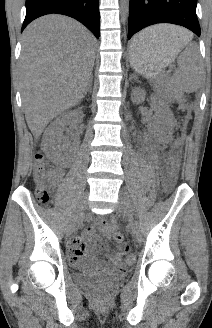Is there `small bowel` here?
Instances as JSON below:
<instances>
[{
  "label": "small bowel",
  "instance_id": "1",
  "mask_svg": "<svg viewBox=\"0 0 212 328\" xmlns=\"http://www.w3.org/2000/svg\"><path fill=\"white\" fill-rule=\"evenodd\" d=\"M62 170L57 169L52 173V180L58 182L62 177ZM98 225L105 236H111L114 232V224L100 219ZM101 247L108 259V262H103L97 259V248ZM69 256L73 262L79 261L86 254H90L95 259V267L99 271H121L125 269V265L118 255L111 252L110 248L101 243L96 234L94 227L86 228L81 236L75 237L68 247Z\"/></svg>",
  "mask_w": 212,
  "mask_h": 328
}]
</instances>
